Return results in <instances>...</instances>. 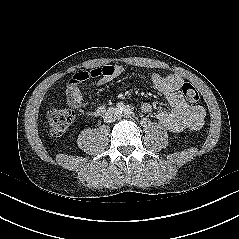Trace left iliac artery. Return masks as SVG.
<instances>
[{"mask_svg": "<svg viewBox=\"0 0 239 239\" xmlns=\"http://www.w3.org/2000/svg\"><path fill=\"white\" fill-rule=\"evenodd\" d=\"M125 114L128 115V116L132 114V111H131L130 107H127L125 109Z\"/></svg>", "mask_w": 239, "mask_h": 239, "instance_id": "left-iliac-artery-1", "label": "left iliac artery"}]
</instances>
